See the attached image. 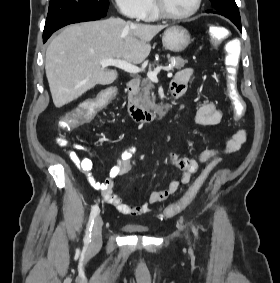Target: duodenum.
<instances>
[{
    "instance_id": "410a0bca",
    "label": "duodenum",
    "mask_w": 280,
    "mask_h": 283,
    "mask_svg": "<svg viewBox=\"0 0 280 283\" xmlns=\"http://www.w3.org/2000/svg\"><path fill=\"white\" fill-rule=\"evenodd\" d=\"M140 85L138 78H132L127 83V109L131 117L138 123H151L160 118V115L154 112L148 111L139 105L137 93ZM171 96L176 98L179 94L174 88V84L171 85Z\"/></svg>"
}]
</instances>
